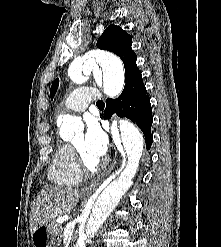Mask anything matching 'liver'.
<instances>
[{
  "mask_svg": "<svg viewBox=\"0 0 221 247\" xmlns=\"http://www.w3.org/2000/svg\"><path fill=\"white\" fill-rule=\"evenodd\" d=\"M81 193L71 187L45 186L31 207V233L39 226L53 222L58 216L70 212L79 202Z\"/></svg>",
  "mask_w": 221,
  "mask_h": 247,
  "instance_id": "6515ba94",
  "label": "liver"
}]
</instances>
